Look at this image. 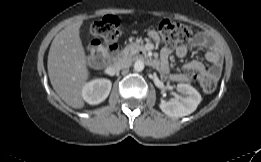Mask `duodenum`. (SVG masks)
Instances as JSON below:
<instances>
[{
  "mask_svg": "<svg viewBox=\"0 0 261 162\" xmlns=\"http://www.w3.org/2000/svg\"><path fill=\"white\" fill-rule=\"evenodd\" d=\"M142 58L148 65H150L153 68L159 69L165 66L164 63L159 62L158 60L151 59L147 57L145 54H142ZM119 59H120L119 52L117 51V47L115 45H111L105 50L104 61H107L109 64L107 69L116 70L117 62L119 61ZM104 61L102 63H96V64L102 65Z\"/></svg>",
  "mask_w": 261,
  "mask_h": 162,
  "instance_id": "410a0bca",
  "label": "duodenum"
}]
</instances>
